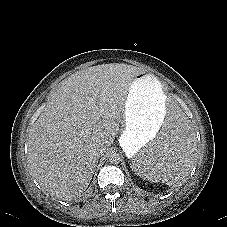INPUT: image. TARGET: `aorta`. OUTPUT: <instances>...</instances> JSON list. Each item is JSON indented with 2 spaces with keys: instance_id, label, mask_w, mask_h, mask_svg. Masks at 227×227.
<instances>
[{
  "instance_id": "obj_1",
  "label": "aorta",
  "mask_w": 227,
  "mask_h": 227,
  "mask_svg": "<svg viewBox=\"0 0 227 227\" xmlns=\"http://www.w3.org/2000/svg\"><path fill=\"white\" fill-rule=\"evenodd\" d=\"M108 158L111 164H118L121 160L120 155L116 152L110 153Z\"/></svg>"
}]
</instances>
